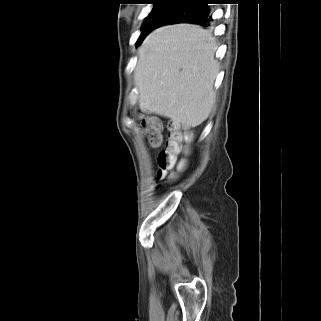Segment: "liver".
<instances>
[{
	"label": "liver",
	"instance_id": "obj_1",
	"mask_svg": "<svg viewBox=\"0 0 321 321\" xmlns=\"http://www.w3.org/2000/svg\"><path fill=\"white\" fill-rule=\"evenodd\" d=\"M216 49L215 38L200 26L152 31L138 51L134 73L140 109L187 127L203 123L216 99Z\"/></svg>",
	"mask_w": 321,
	"mask_h": 321
}]
</instances>
